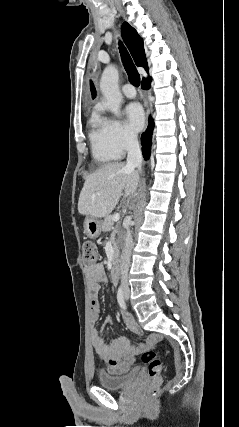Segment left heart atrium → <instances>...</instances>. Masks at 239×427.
Returning a JSON list of instances; mask_svg holds the SVG:
<instances>
[{"instance_id": "left-heart-atrium-1", "label": "left heart atrium", "mask_w": 239, "mask_h": 427, "mask_svg": "<svg viewBox=\"0 0 239 427\" xmlns=\"http://www.w3.org/2000/svg\"><path fill=\"white\" fill-rule=\"evenodd\" d=\"M126 123L128 128L136 133L144 126V113L138 103H131L125 109Z\"/></svg>"}]
</instances>
